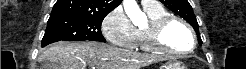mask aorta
<instances>
[{"label":"aorta","mask_w":246,"mask_h":69,"mask_svg":"<svg viewBox=\"0 0 246 69\" xmlns=\"http://www.w3.org/2000/svg\"><path fill=\"white\" fill-rule=\"evenodd\" d=\"M123 6L133 24H140L146 19V15L140 10L136 0H123Z\"/></svg>","instance_id":"1"}]
</instances>
